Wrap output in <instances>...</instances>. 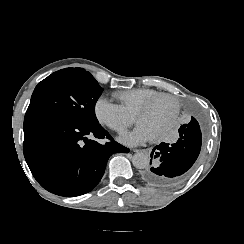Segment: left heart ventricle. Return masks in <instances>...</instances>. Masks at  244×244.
Instances as JSON below:
<instances>
[{
    "label": "left heart ventricle",
    "mask_w": 244,
    "mask_h": 244,
    "mask_svg": "<svg viewBox=\"0 0 244 244\" xmlns=\"http://www.w3.org/2000/svg\"><path fill=\"white\" fill-rule=\"evenodd\" d=\"M172 110L173 106L170 102H159L153 108L147 110V113L138 114V119L141 125L146 126L161 137L167 129L165 120L171 115Z\"/></svg>",
    "instance_id": "left-heart-ventricle-1"
}]
</instances>
